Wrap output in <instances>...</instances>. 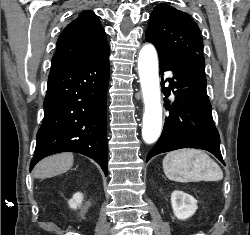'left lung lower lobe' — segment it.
Instances as JSON below:
<instances>
[{
    "mask_svg": "<svg viewBox=\"0 0 250 235\" xmlns=\"http://www.w3.org/2000/svg\"><path fill=\"white\" fill-rule=\"evenodd\" d=\"M163 79L165 71H172L164 88L166 100L171 94L175 99L167 102L168 116L163 132L146 158L180 148L203 149L214 154L224 165L220 151V137L214 125L211 104L206 92L205 60L199 54L182 57L159 55ZM164 83V82H163Z\"/></svg>",
    "mask_w": 250,
    "mask_h": 235,
    "instance_id": "obj_1",
    "label": "left lung lower lobe"
}]
</instances>
